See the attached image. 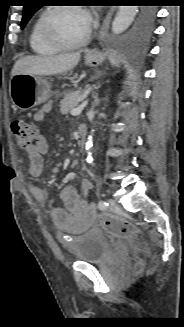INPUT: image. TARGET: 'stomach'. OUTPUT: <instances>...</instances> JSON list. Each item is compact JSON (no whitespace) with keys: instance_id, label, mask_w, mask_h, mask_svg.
<instances>
[{"instance_id":"1","label":"stomach","mask_w":184,"mask_h":327,"mask_svg":"<svg viewBox=\"0 0 184 327\" xmlns=\"http://www.w3.org/2000/svg\"><path fill=\"white\" fill-rule=\"evenodd\" d=\"M100 61L98 54L87 53L85 63L89 66ZM10 96L13 105L25 111L45 103L51 96L50 84L39 75L17 73L10 80Z\"/></svg>"}]
</instances>
